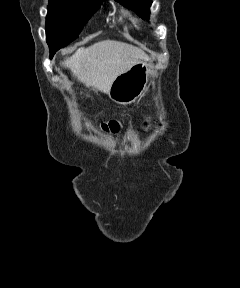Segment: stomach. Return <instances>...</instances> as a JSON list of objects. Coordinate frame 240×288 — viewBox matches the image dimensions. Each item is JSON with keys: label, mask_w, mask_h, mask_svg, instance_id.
I'll return each instance as SVG.
<instances>
[{"label": "stomach", "mask_w": 240, "mask_h": 288, "mask_svg": "<svg viewBox=\"0 0 240 288\" xmlns=\"http://www.w3.org/2000/svg\"><path fill=\"white\" fill-rule=\"evenodd\" d=\"M148 76V63L142 60L138 61L113 81L109 91L110 99L120 105L135 102L143 95L148 83Z\"/></svg>", "instance_id": "obj_1"}]
</instances>
